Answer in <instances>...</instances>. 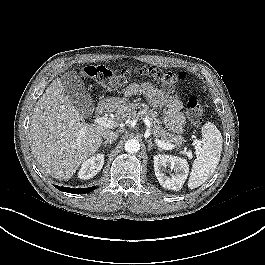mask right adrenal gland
Returning <instances> with one entry per match:
<instances>
[{
    "mask_svg": "<svg viewBox=\"0 0 265 265\" xmlns=\"http://www.w3.org/2000/svg\"><path fill=\"white\" fill-rule=\"evenodd\" d=\"M112 142H113V140H106L102 144H104V146H106L107 144H109V146H111Z\"/></svg>",
    "mask_w": 265,
    "mask_h": 265,
    "instance_id": "1",
    "label": "right adrenal gland"
}]
</instances>
